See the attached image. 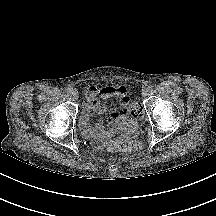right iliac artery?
<instances>
[{"mask_svg": "<svg viewBox=\"0 0 216 216\" xmlns=\"http://www.w3.org/2000/svg\"><path fill=\"white\" fill-rule=\"evenodd\" d=\"M71 92H72V90H71L70 88H67V89H66V93H67V94H70Z\"/></svg>", "mask_w": 216, "mask_h": 216, "instance_id": "obj_1", "label": "right iliac artery"}]
</instances>
